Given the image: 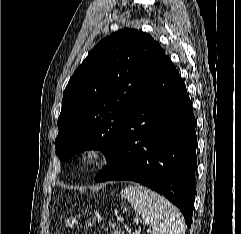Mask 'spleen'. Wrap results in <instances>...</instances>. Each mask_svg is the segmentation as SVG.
<instances>
[{
    "label": "spleen",
    "mask_w": 241,
    "mask_h": 234,
    "mask_svg": "<svg viewBox=\"0 0 241 234\" xmlns=\"http://www.w3.org/2000/svg\"><path fill=\"white\" fill-rule=\"evenodd\" d=\"M148 225L152 234H185L184 220L178 209L165 197L139 184L121 191Z\"/></svg>",
    "instance_id": "3e777b00"
}]
</instances>
